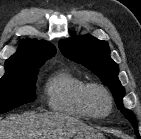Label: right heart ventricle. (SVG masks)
<instances>
[{
	"instance_id": "right-heart-ventricle-1",
	"label": "right heart ventricle",
	"mask_w": 141,
	"mask_h": 139,
	"mask_svg": "<svg viewBox=\"0 0 141 139\" xmlns=\"http://www.w3.org/2000/svg\"><path fill=\"white\" fill-rule=\"evenodd\" d=\"M87 84L83 78L68 69L53 73L47 78L44 86L48 107L81 119L93 118L83 100Z\"/></svg>"
}]
</instances>
